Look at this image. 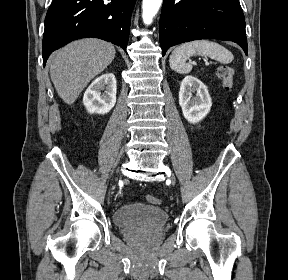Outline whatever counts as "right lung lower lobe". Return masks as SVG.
Returning <instances> with one entry per match:
<instances>
[{
    "label": "right lung lower lobe",
    "mask_w": 288,
    "mask_h": 280,
    "mask_svg": "<svg viewBox=\"0 0 288 280\" xmlns=\"http://www.w3.org/2000/svg\"><path fill=\"white\" fill-rule=\"evenodd\" d=\"M136 0H54L45 18L43 64L49 55L79 38L96 37L126 50Z\"/></svg>",
    "instance_id": "right-lung-lower-lobe-1"
}]
</instances>
